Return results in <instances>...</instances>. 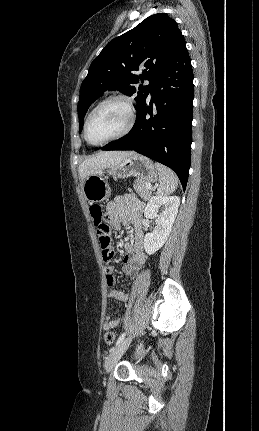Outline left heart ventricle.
<instances>
[{
  "instance_id": "obj_1",
  "label": "left heart ventricle",
  "mask_w": 259,
  "mask_h": 431,
  "mask_svg": "<svg viewBox=\"0 0 259 431\" xmlns=\"http://www.w3.org/2000/svg\"><path fill=\"white\" fill-rule=\"evenodd\" d=\"M128 122V112L120 101H111L101 106L92 116L88 136L94 143L105 141L121 132Z\"/></svg>"
}]
</instances>
